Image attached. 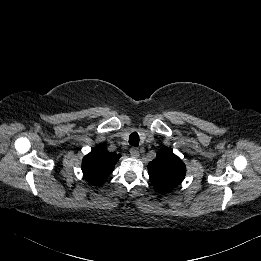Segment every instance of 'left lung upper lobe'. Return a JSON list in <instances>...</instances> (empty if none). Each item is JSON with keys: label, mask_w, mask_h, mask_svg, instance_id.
Segmentation results:
<instances>
[{"label": "left lung upper lobe", "mask_w": 261, "mask_h": 261, "mask_svg": "<svg viewBox=\"0 0 261 261\" xmlns=\"http://www.w3.org/2000/svg\"><path fill=\"white\" fill-rule=\"evenodd\" d=\"M148 173L155 189L167 191L181 184L186 174V167L172 150L164 148L148 164Z\"/></svg>", "instance_id": "1"}]
</instances>
